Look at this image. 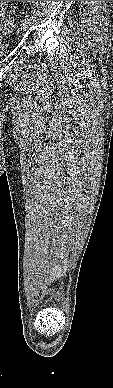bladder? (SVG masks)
<instances>
[{
  "instance_id": "bladder-1",
  "label": "bladder",
  "mask_w": 113,
  "mask_h": 388,
  "mask_svg": "<svg viewBox=\"0 0 113 388\" xmlns=\"http://www.w3.org/2000/svg\"><path fill=\"white\" fill-rule=\"evenodd\" d=\"M14 24L11 20L7 22H0V58L6 56L10 51V46L7 41H5V37H7L11 30L13 29Z\"/></svg>"
}]
</instances>
